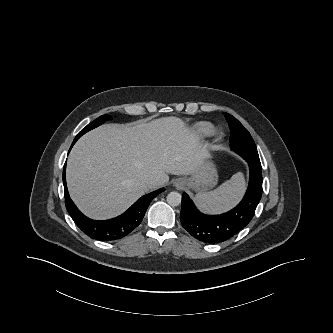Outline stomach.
<instances>
[{
	"instance_id": "1",
	"label": "stomach",
	"mask_w": 333,
	"mask_h": 333,
	"mask_svg": "<svg viewBox=\"0 0 333 333\" xmlns=\"http://www.w3.org/2000/svg\"><path fill=\"white\" fill-rule=\"evenodd\" d=\"M218 175L214 164L208 156L199 168L189 178H185V185L195 191H208L217 184Z\"/></svg>"
}]
</instances>
